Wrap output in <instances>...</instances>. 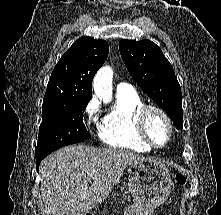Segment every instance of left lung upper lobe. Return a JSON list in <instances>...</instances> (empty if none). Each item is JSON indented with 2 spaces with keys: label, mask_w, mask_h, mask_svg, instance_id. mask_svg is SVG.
<instances>
[{
  "label": "left lung upper lobe",
  "mask_w": 221,
  "mask_h": 215,
  "mask_svg": "<svg viewBox=\"0 0 221 215\" xmlns=\"http://www.w3.org/2000/svg\"><path fill=\"white\" fill-rule=\"evenodd\" d=\"M121 57L132 78L173 120L183 127L182 94L170 62L152 41L122 40Z\"/></svg>",
  "instance_id": "1"
}]
</instances>
